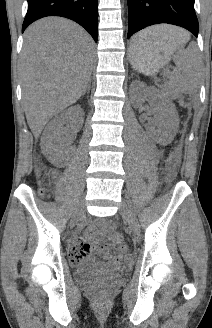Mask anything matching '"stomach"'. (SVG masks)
<instances>
[{"label": "stomach", "instance_id": "obj_1", "mask_svg": "<svg viewBox=\"0 0 212 328\" xmlns=\"http://www.w3.org/2000/svg\"><path fill=\"white\" fill-rule=\"evenodd\" d=\"M133 41L134 39L129 51L131 64L137 71L145 75H153L164 66L181 42L179 39L166 40L162 46L137 51L132 47Z\"/></svg>", "mask_w": 212, "mask_h": 328}]
</instances>
